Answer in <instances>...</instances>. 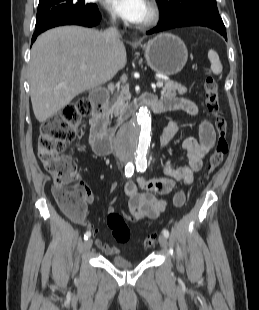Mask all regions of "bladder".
I'll list each match as a JSON object with an SVG mask.
<instances>
[{
  "instance_id": "31cf9c89",
  "label": "bladder",
  "mask_w": 259,
  "mask_h": 310,
  "mask_svg": "<svg viewBox=\"0 0 259 310\" xmlns=\"http://www.w3.org/2000/svg\"><path fill=\"white\" fill-rule=\"evenodd\" d=\"M110 262L118 268L129 269L133 266V263L128 261L126 258L120 255H115L111 257Z\"/></svg>"
}]
</instances>
